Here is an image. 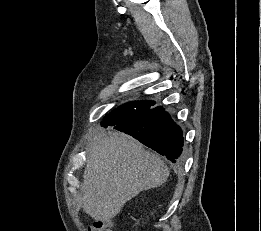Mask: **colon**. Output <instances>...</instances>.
I'll return each instance as SVG.
<instances>
[{"label":"colon","instance_id":"1","mask_svg":"<svg viewBox=\"0 0 261 231\" xmlns=\"http://www.w3.org/2000/svg\"><path fill=\"white\" fill-rule=\"evenodd\" d=\"M91 231H112L111 230V221L108 219L96 221L94 223Z\"/></svg>","mask_w":261,"mask_h":231}]
</instances>
